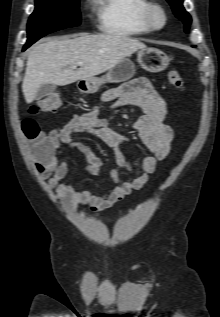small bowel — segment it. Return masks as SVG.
Returning <instances> with one entry per match:
<instances>
[{
	"label": "small bowel",
	"mask_w": 220,
	"mask_h": 317,
	"mask_svg": "<svg viewBox=\"0 0 220 317\" xmlns=\"http://www.w3.org/2000/svg\"><path fill=\"white\" fill-rule=\"evenodd\" d=\"M101 100L113 102L112 109L133 105L143 110L144 115L134 123V129L148 154L138 166L131 165L121 150L129 137L112 129L106 119L98 116L95 108L72 116L64 126L50 131L57 153L50 165L38 168V171L51 189L58 190L57 197L70 212H75L80 205L91 211H102L141 189L156 171L159 162L167 157L174 137L173 130L166 124L167 104L147 79H133L118 88L110 89L103 93ZM78 133H87L113 148L119 166L131 170L133 178L122 182L119 171L113 170L110 177L114 185L105 194L76 190L71 184L63 183L69 165L66 161L58 162L61 146L81 152L86 161L85 171L91 175H99L104 166V161L86 143L73 139V135Z\"/></svg>",
	"instance_id": "c3829d8e"
}]
</instances>
